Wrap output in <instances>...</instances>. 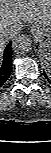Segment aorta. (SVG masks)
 Returning a JSON list of instances; mask_svg holds the SVG:
<instances>
[{"label": "aorta", "mask_w": 51, "mask_h": 153, "mask_svg": "<svg viewBox=\"0 0 51 153\" xmlns=\"http://www.w3.org/2000/svg\"><path fill=\"white\" fill-rule=\"evenodd\" d=\"M32 47V39L26 34H20L14 37L12 48L17 54L27 53Z\"/></svg>", "instance_id": "obj_1"}]
</instances>
